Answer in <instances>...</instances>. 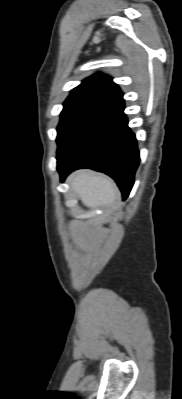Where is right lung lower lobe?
Segmentation results:
<instances>
[{
    "label": "right lung lower lobe",
    "instance_id": "98d812e1",
    "mask_svg": "<svg viewBox=\"0 0 182 399\" xmlns=\"http://www.w3.org/2000/svg\"><path fill=\"white\" fill-rule=\"evenodd\" d=\"M123 111V98L108 103L58 144L57 170L62 181L76 169L90 168L111 176L123 199L128 197L140 157L135 134Z\"/></svg>",
    "mask_w": 182,
    "mask_h": 399
}]
</instances>
